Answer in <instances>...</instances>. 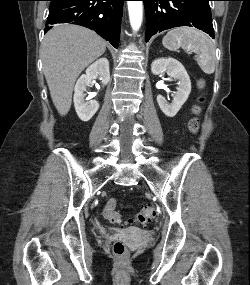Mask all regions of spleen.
Instances as JSON below:
<instances>
[{
	"mask_svg": "<svg viewBox=\"0 0 250 285\" xmlns=\"http://www.w3.org/2000/svg\"><path fill=\"white\" fill-rule=\"evenodd\" d=\"M163 46L171 51L179 48L195 53V60L205 74L215 71V45L202 31L191 27H179L170 30L162 40Z\"/></svg>",
	"mask_w": 250,
	"mask_h": 285,
	"instance_id": "obj_1",
	"label": "spleen"
}]
</instances>
